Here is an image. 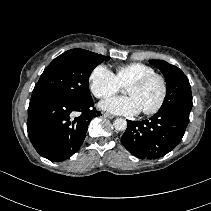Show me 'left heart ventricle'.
Masks as SVG:
<instances>
[{
	"label": "left heart ventricle",
	"mask_w": 211,
	"mask_h": 211,
	"mask_svg": "<svg viewBox=\"0 0 211 211\" xmlns=\"http://www.w3.org/2000/svg\"><path fill=\"white\" fill-rule=\"evenodd\" d=\"M127 94L137 100L142 111L149 110L159 102L162 85L158 79H155L143 87H129Z\"/></svg>",
	"instance_id": "left-heart-ventricle-1"
}]
</instances>
